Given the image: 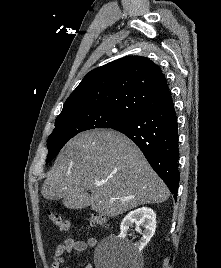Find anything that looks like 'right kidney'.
Returning a JSON list of instances; mask_svg holds the SVG:
<instances>
[{
    "label": "right kidney",
    "instance_id": "ca27d5eb",
    "mask_svg": "<svg viewBox=\"0 0 221 268\" xmlns=\"http://www.w3.org/2000/svg\"><path fill=\"white\" fill-rule=\"evenodd\" d=\"M133 224L136 225L135 230L142 234L141 239L133 245L134 251L138 253L143 250L155 233L156 213L147 207L138 208L128 213L120 225L121 232L118 236L120 240L128 242L126 236Z\"/></svg>",
    "mask_w": 221,
    "mask_h": 268
}]
</instances>
